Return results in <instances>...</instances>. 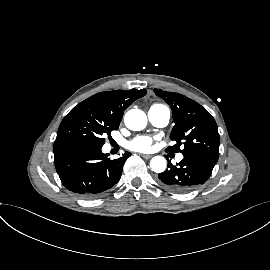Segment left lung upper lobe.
I'll return each mask as SVG.
<instances>
[{
  "label": "left lung upper lobe",
  "instance_id": "left-lung-upper-lobe-1",
  "mask_svg": "<svg viewBox=\"0 0 270 270\" xmlns=\"http://www.w3.org/2000/svg\"><path fill=\"white\" fill-rule=\"evenodd\" d=\"M154 92L170 105L173 112L175 125L170 138L176 144L166 151L196 154L217 162L220 136L214 118L186 96L161 89H154Z\"/></svg>",
  "mask_w": 270,
  "mask_h": 270
}]
</instances>
